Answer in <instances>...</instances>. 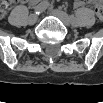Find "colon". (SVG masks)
Listing matches in <instances>:
<instances>
[{
	"label": "colon",
	"mask_w": 103,
	"mask_h": 103,
	"mask_svg": "<svg viewBox=\"0 0 103 103\" xmlns=\"http://www.w3.org/2000/svg\"><path fill=\"white\" fill-rule=\"evenodd\" d=\"M10 3H11V1H4L2 3L1 10H0L1 14H3L6 11L8 5ZM89 4L94 8L98 19L103 20V4H102V2L91 1Z\"/></svg>",
	"instance_id": "5ec220e1"
}]
</instances>
